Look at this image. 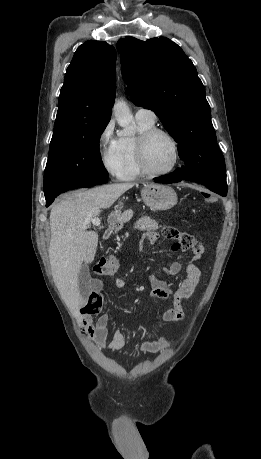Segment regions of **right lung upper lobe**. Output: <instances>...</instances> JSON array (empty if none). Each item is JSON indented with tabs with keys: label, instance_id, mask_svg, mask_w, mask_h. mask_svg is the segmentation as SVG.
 <instances>
[{
	"label": "right lung upper lobe",
	"instance_id": "1",
	"mask_svg": "<svg viewBox=\"0 0 261 459\" xmlns=\"http://www.w3.org/2000/svg\"><path fill=\"white\" fill-rule=\"evenodd\" d=\"M116 51L90 40L75 52L59 96L52 137L80 133L109 122L116 92Z\"/></svg>",
	"mask_w": 261,
	"mask_h": 459
}]
</instances>
